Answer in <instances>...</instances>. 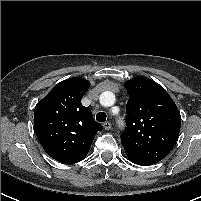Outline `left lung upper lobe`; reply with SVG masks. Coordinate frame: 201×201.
<instances>
[{"label":"left lung upper lobe","instance_id":"left-lung-upper-lobe-1","mask_svg":"<svg viewBox=\"0 0 201 201\" xmlns=\"http://www.w3.org/2000/svg\"><path fill=\"white\" fill-rule=\"evenodd\" d=\"M125 88L129 100L122 145L131 162L155 164L167 156L177 141L180 112L170 95L149 78L135 77L125 83Z\"/></svg>","mask_w":201,"mask_h":201}]
</instances>
